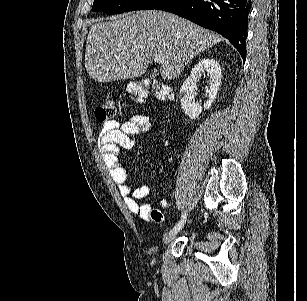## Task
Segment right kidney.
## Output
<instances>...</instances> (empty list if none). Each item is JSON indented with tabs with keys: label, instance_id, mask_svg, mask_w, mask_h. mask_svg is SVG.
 Masks as SVG:
<instances>
[{
	"label": "right kidney",
	"instance_id": "obj_1",
	"mask_svg": "<svg viewBox=\"0 0 307 301\" xmlns=\"http://www.w3.org/2000/svg\"><path fill=\"white\" fill-rule=\"evenodd\" d=\"M203 72H207V92L208 98L205 100L203 106L200 104H196L193 102L194 98V88L197 86V82L203 74ZM222 82V72L221 66L215 58H201L195 66H193L189 76H187L186 80H184L178 94V98L181 102V108H183L185 114L189 116V118H198L199 114H201L202 110H207V108H211L212 102H214L216 98V94L221 86Z\"/></svg>",
	"mask_w": 307,
	"mask_h": 301
}]
</instances>
